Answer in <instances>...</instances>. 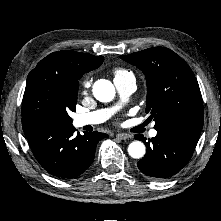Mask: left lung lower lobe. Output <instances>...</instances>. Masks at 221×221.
Here are the masks:
<instances>
[{
	"label": "left lung lower lobe",
	"mask_w": 221,
	"mask_h": 221,
	"mask_svg": "<svg viewBox=\"0 0 221 221\" xmlns=\"http://www.w3.org/2000/svg\"><path fill=\"white\" fill-rule=\"evenodd\" d=\"M201 129L171 126L157 130L156 137L146 144V155L137 163L139 170L153 179H164L178 173L190 160ZM135 139L145 142L143 135Z\"/></svg>",
	"instance_id": "0a47b994"
}]
</instances>
